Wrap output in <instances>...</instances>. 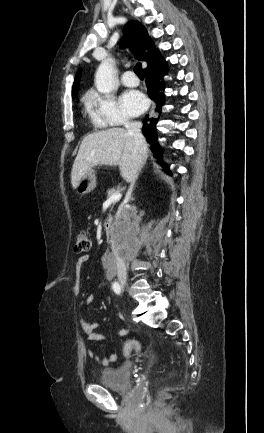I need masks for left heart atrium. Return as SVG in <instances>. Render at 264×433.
<instances>
[{"label":"left heart atrium","mask_w":264,"mask_h":433,"mask_svg":"<svg viewBox=\"0 0 264 433\" xmlns=\"http://www.w3.org/2000/svg\"><path fill=\"white\" fill-rule=\"evenodd\" d=\"M121 104L124 111L130 116L140 115L147 107V100L138 91H128L121 97Z\"/></svg>","instance_id":"39dd6f15"}]
</instances>
